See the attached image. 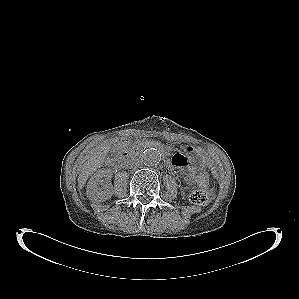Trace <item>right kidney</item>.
Instances as JSON below:
<instances>
[{
    "label": "right kidney",
    "instance_id": "right-kidney-1",
    "mask_svg": "<svg viewBox=\"0 0 299 299\" xmlns=\"http://www.w3.org/2000/svg\"><path fill=\"white\" fill-rule=\"evenodd\" d=\"M111 174L109 170H98L90 178L87 185V197L94 201H105L112 195L113 186L109 183ZM102 178H105L103 180Z\"/></svg>",
    "mask_w": 299,
    "mask_h": 299
}]
</instances>
